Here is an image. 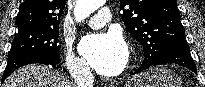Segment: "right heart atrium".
Returning a JSON list of instances; mask_svg holds the SVG:
<instances>
[{"mask_svg": "<svg viewBox=\"0 0 205 87\" xmlns=\"http://www.w3.org/2000/svg\"><path fill=\"white\" fill-rule=\"evenodd\" d=\"M66 66L70 74L74 77L87 75L90 73V68L87 62L78 57L74 52L71 44H66Z\"/></svg>", "mask_w": 205, "mask_h": 87, "instance_id": "obj_1", "label": "right heart atrium"}]
</instances>
